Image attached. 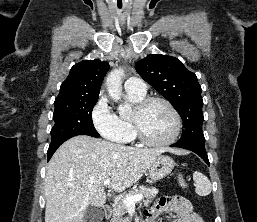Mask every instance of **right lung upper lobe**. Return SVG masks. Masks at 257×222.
I'll use <instances>...</instances> for the list:
<instances>
[{
    "label": "right lung upper lobe",
    "instance_id": "1",
    "mask_svg": "<svg viewBox=\"0 0 257 222\" xmlns=\"http://www.w3.org/2000/svg\"><path fill=\"white\" fill-rule=\"evenodd\" d=\"M109 70L106 61L84 60L75 64L67 79L61 84L55 102L99 95L104 76Z\"/></svg>",
    "mask_w": 257,
    "mask_h": 222
}]
</instances>
